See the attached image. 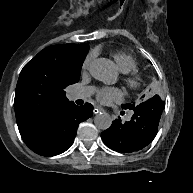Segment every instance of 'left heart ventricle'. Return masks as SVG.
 Listing matches in <instances>:
<instances>
[{
    "instance_id": "obj_1",
    "label": "left heart ventricle",
    "mask_w": 193,
    "mask_h": 193,
    "mask_svg": "<svg viewBox=\"0 0 193 193\" xmlns=\"http://www.w3.org/2000/svg\"><path fill=\"white\" fill-rule=\"evenodd\" d=\"M107 83H108V84H112V83H113V81L109 80V81H107Z\"/></svg>"
}]
</instances>
